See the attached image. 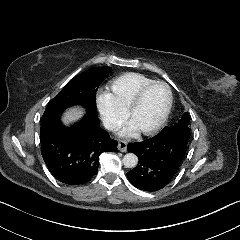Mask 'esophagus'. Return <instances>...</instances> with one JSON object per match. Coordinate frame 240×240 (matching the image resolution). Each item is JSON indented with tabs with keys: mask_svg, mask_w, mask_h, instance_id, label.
I'll use <instances>...</instances> for the list:
<instances>
[{
	"mask_svg": "<svg viewBox=\"0 0 240 240\" xmlns=\"http://www.w3.org/2000/svg\"><path fill=\"white\" fill-rule=\"evenodd\" d=\"M127 144H128V142L127 141H125V140H120L119 142H118V150L119 151H121V152H126V150H127Z\"/></svg>",
	"mask_w": 240,
	"mask_h": 240,
	"instance_id": "obj_1",
	"label": "esophagus"
}]
</instances>
